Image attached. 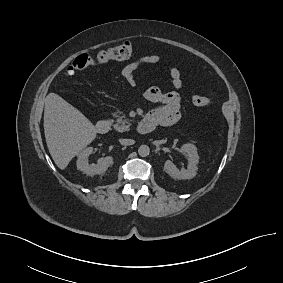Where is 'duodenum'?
Instances as JSON below:
<instances>
[{"label": "duodenum", "mask_w": 283, "mask_h": 283, "mask_svg": "<svg viewBox=\"0 0 283 283\" xmlns=\"http://www.w3.org/2000/svg\"><path fill=\"white\" fill-rule=\"evenodd\" d=\"M154 124L146 117L138 124L137 131L141 134L152 131ZM96 130L99 134H106L110 130V122L108 120H99L96 124Z\"/></svg>", "instance_id": "1"}]
</instances>
